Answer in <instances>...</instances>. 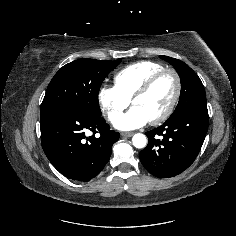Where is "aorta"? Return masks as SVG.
Segmentation results:
<instances>
[{"mask_svg": "<svg viewBox=\"0 0 236 236\" xmlns=\"http://www.w3.org/2000/svg\"><path fill=\"white\" fill-rule=\"evenodd\" d=\"M132 143L136 148L141 149L147 145V138L144 134L137 133L133 136Z\"/></svg>", "mask_w": 236, "mask_h": 236, "instance_id": "1", "label": "aorta"}]
</instances>
